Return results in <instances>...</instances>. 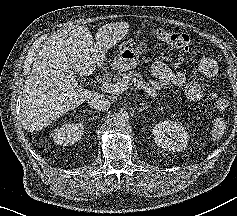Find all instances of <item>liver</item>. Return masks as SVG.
Segmentation results:
<instances>
[{
  "instance_id": "1",
  "label": "liver",
  "mask_w": 237,
  "mask_h": 216,
  "mask_svg": "<svg viewBox=\"0 0 237 216\" xmlns=\"http://www.w3.org/2000/svg\"><path fill=\"white\" fill-rule=\"evenodd\" d=\"M84 25L63 29L49 38L25 80L23 124L31 130L48 125L94 94L78 85L77 76L92 75L100 53Z\"/></svg>"
}]
</instances>
